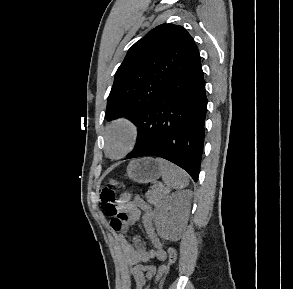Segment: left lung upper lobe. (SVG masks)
<instances>
[{
    "instance_id": "left-lung-upper-lobe-1",
    "label": "left lung upper lobe",
    "mask_w": 293,
    "mask_h": 289,
    "mask_svg": "<svg viewBox=\"0 0 293 289\" xmlns=\"http://www.w3.org/2000/svg\"><path fill=\"white\" fill-rule=\"evenodd\" d=\"M199 57L193 38L182 26L161 24L152 29L129 49L116 71L107 120L127 117L136 123Z\"/></svg>"
}]
</instances>
